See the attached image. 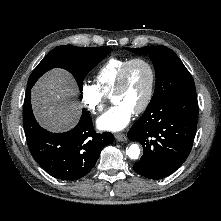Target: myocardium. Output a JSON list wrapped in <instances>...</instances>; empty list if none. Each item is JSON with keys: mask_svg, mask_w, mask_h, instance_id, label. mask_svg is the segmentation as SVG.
Returning <instances> with one entry per match:
<instances>
[{"mask_svg": "<svg viewBox=\"0 0 221 221\" xmlns=\"http://www.w3.org/2000/svg\"><path fill=\"white\" fill-rule=\"evenodd\" d=\"M135 63H141L144 66H146V68L148 69L149 75H150V82H149V87H148L146 97H145L144 101L142 102V104L134 111V114H141L150 105L153 95H154V90H155L156 73H155V69H154L152 63L149 60H147L143 57H134V58L129 59L125 63V65L122 67L121 72L119 74L115 89L112 93V98L115 95L122 92V90L124 89L128 71H129L130 67Z\"/></svg>", "mask_w": 221, "mask_h": 221, "instance_id": "obj_1", "label": "myocardium"}]
</instances>
